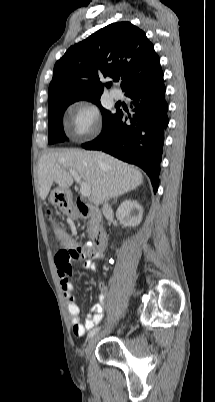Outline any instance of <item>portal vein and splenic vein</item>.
I'll return each mask as SVG.
<instances>
[{
    "label": "portal vein and splenic vein",
    "mask_w": 215,
    "mask_h": 402,
    "mask_svg": "<svg viewBox=\"0 0 215 402\" xmlns=\"http://www.w3.org/2000/svg\"><path fill=\"white\" fill-rule=\"evenodd\" d=\"M69 173L73 176L75 181L80 184V193L83 197L89 198L91 195V187L87 185L85 182L81 181V177L77 174L76 171L70 169Z\"/></svg>",
    "instance_id": "1"
}]
</instances>
